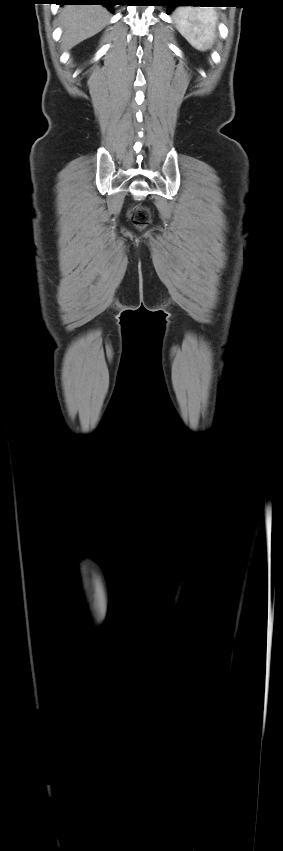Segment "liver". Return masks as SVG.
<instances>
[{"instance_id":"liver-1","label":"liver","mask_w":283,"mask_h":851,"mask_svg":"<svg viewBox=\"0 0 283 851\" xmlns=\"http://www.w3.org/2000/svg\"><path fill=\"white\" fill-rule=\"evenodd\" d=\"M109 12L98 5L66 6L60 11L63 29L62 48L71 49L80 42L100 32L109 22Z\"/></svg>"}]
</instances>
